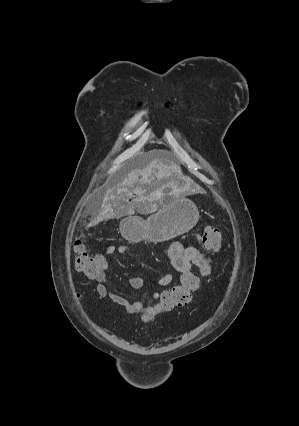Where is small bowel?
<instances>
[{"label":"small bowel","instance_id":"c3829d8e","mask_svg":"<svg viewBox=\"0 0 299 426\" xmlns=\"http://www.w3.org/2000/svg\"><path fill=\"white\" fill-rule=\"evenodd\" d=\"M129 249L130 247L128 245H109L105 248V256H102V270L94 278L96 291L101 298H107L111 303L124 307L128 314L141 313L142 320L148 322L153 320L156 315L163 312L159 305L155 303L145 304L140 298L127 299L116 293H108L106 289V271L109 266L106 256L115 252L122 254ZM168 256L174 269L182 274L190 271L192 267L198 270L199 277H206L211 273V266L208 260L195 247L184 246L180 242H173L168 248ZM173 280L174 275L168 273L154 280V283L160 287H167L172 285ZM145 282V279L141 277H133L129 280L130 286L134 289H140L144 286Z\"/></svg>","mask_w":299,"mask_h":426}]
</instances>
